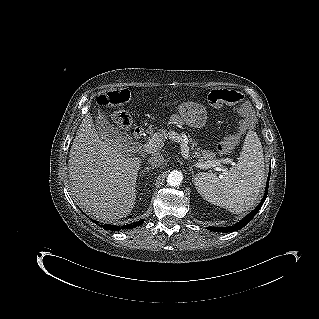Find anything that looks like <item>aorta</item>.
<instances>
[{"label": "aorta", "instance_id": "762f6f07", "mask_svg": "<svg viewBox=\"0 0 319 319\" xmlns=\"http://www.w3.org/2000/svg\"><path fill=\"white\" fill-rule=\"evenodd\" d=\"M183 180V174L181 171L173 170L168 174L167 183L172 187L179 186Z\"/></svg>", "mask_w": 319, "mask_h": 319}]
</instances>
